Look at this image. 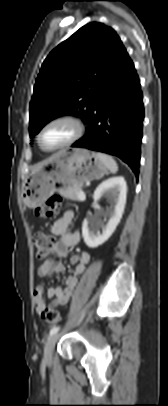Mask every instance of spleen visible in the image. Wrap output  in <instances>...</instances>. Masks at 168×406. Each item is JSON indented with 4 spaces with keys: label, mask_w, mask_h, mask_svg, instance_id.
<instances>
[{
    "label": "spleen",
    "mask_w": 168,
    "mask_h": 406,
    "mask_svg": "<svg viewBox=\"0 0 168 406\" xmlns=\"http://www.w3.org/2000/svg\"><path fill=\"white\" fill-rule=\"evenodd\" d=\"M98 158L107 166L111 173H116L118 170L117 163L115 160L104 153H97Z\"/></svg>",
    "instance_id": "obj_1"
}]
</instances>
